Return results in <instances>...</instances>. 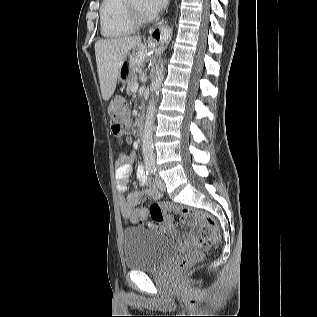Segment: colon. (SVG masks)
<instances>
[{"label":"colon","instance_id":"1","mask_svg":"<svg viewBox=\"0 0 317 317\" xmlns=\"http://www.w3.org/2000/svg\"><path fill=\"white\" fill-rule=\"evenodd\" d=\"M108 116L112 133L120 138L127 137L130 130L128 106L122 97L113 98L108 105ZM179 214L184 221H201L206 225L200 238L183 254L175 265V269L184 272L199 263L204 254L218 242L219 227L210 215L205 212L186 207H177L167 203H153L149 208V215L156 222L168 220V212Z\"/></svg>","mask_w":317,"mask_h":317}]
</instances>
